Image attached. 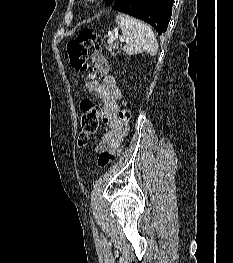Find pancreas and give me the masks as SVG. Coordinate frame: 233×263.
Segmentation results:
<instances>
[{"label":"pancreas","instance_id":"pancreas-1","mask_svg":"<svg viewBox=\"0 0 233 263\" xmlns=\"http://www.w3.org/2000/svg\"><path fill=\"white\" fill-rule=\"evenodd\" d=\"M105 48L110 51L112 56L116 55V50L120 49L121 47L118 44H109L105 45Z\"/></svg>","mask_w":233,"mask_h":263}]
</instances>
